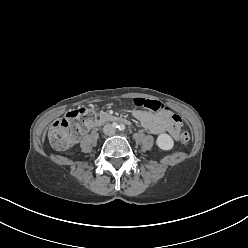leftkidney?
Returning <instances> with one entry per match:
<instances>
[{"instance_id": "obj_1", "label": "left kidney", "mask_w": 248, "mask_h": 248, "mask_svg": "<svg viewBox=\"0 0 248 248\" xmlns=\"http://www.w3.org/2000/svg\"><path fill=\"white\" fill-rule=\"evenodd\" d=\"M157 146L162 150H171L174 146V141L170 135L160 134L156 140Z\"/></svg>"}]
</instances>
